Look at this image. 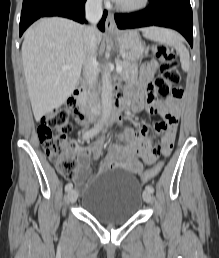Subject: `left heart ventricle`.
<instances>
[{"mask_svg": "<svg viewBox=\"0 0 219 258\" xmlns=\"http://www.w3.org/2000/svg\"><path fill=\"white\" fill-rule=\"evenodd\" d=\"M139 0H120L119 2L123 3V4H134L136 2H138Z\"/></svg>", "mask_w": 219, "mask_h": 258, "instance_id": "obj_1", "label": "left heart ventricle"}]
</instances>
